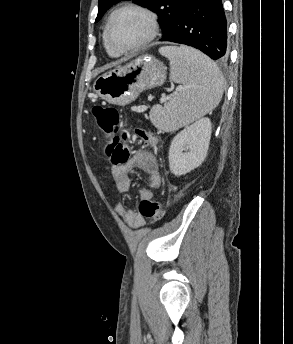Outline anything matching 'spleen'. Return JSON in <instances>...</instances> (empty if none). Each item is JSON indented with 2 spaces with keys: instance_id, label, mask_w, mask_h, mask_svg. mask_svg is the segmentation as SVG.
I'll return each mask as SVG.
<instances>
[{
  "instance_id": "3e777b00",
  "label": "spleen",
  "mask_w": 293,
  "mask_h": 344,
  "mask_svg": "<svg viewBox=\"0 0 293 344\" xmlns=\"http://www.w3.org/2000/svg\"><path fill=\"white\" fill-rule=\"evenodd\" d=\"M159 52L170 61L172 80L183 87L164 106H153L150 120L158 129L173 132L219 104L224 78L209 57L191 47L165 46Z\"/></svg>"
}]
</instances>
